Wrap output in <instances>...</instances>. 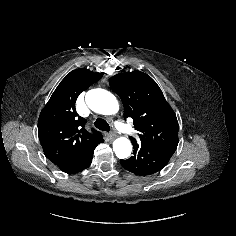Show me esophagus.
I'll return each instance as SVG.
<instances>
[{"instance_id":"obj_1","label":"esophagus","mask_w":236,"mask_h":236,"mask_svg":"<svg viewBox=\"0 0 236 236\" xmlns=\"http://www.w3.org/2000/svg\"><path fill=\"white\" fill-rule=\"evenodd\" d=\"M108 136H109L110 140L115 139V137H116L115 131H112L111 133H109Z\"/></svg>"}]
</instances>
